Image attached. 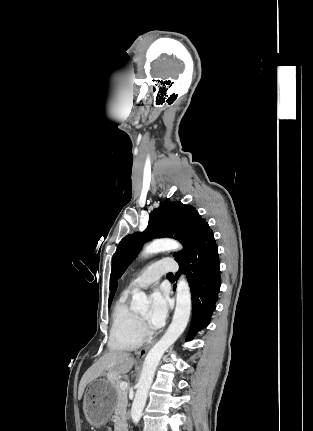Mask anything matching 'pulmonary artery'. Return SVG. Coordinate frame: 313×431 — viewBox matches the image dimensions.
Segmentation results:
<instances>
[{
    "mask_svg": "<svg viewBox=\"0 0 313 431\" xmlns=\"http://www.w3.org/2000/svg\"><path fill=\"white\" fill-rule=\"evenodd\" d=\"M178 270L177 263L171 258L161 259L145 268L129 285V291L146 289L155 285L160 277Z\"/></svg>",
    "mask_w": 313,
    "mask_h": 431,
    "instance_id": "e3ab8cb5",
    "label": "pulmonary artery"
}]
</instances>
